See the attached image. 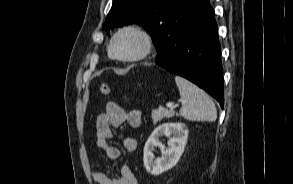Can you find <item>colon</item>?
<instances>
[{
    "label": "colon",
    "mask_w": 293,
    "mask_h": 184,
    "mask_svg": "<svg viewBox=\"0 0 293 184\" xmlns=\"http://www.w3.org/2000/svg\"><path fill=\"white\" fill-rule=\"evenodd\" d=\"M99 90L103 95H106V96L112 93L111 88L107 84H101L99 87Z\"/></svg>",
    "instance_id": "1"
}]
</instances>
